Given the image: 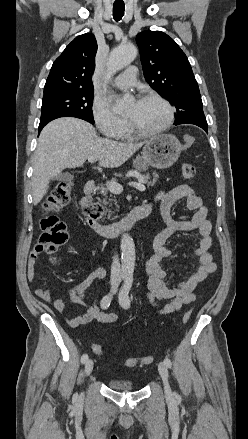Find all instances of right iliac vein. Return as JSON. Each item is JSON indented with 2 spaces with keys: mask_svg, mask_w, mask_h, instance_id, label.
<instances>
[{
  "mask_svg": "<svg viewBox=\"0 0 248 439\" xmlns=\"http://www.w3.org/2000/svg\"><path fill=\"white\" fill-rule=\"evenodd\" d=\"M94 363L91 359L87 360L85 364V375L89 376L93 371Z\"/></svg>",
  "mask_w": 248,
  "mask_h": 439,
  "instance_id": "63e3f726",
  "label": "right iliac vein"
}]
</instances>
